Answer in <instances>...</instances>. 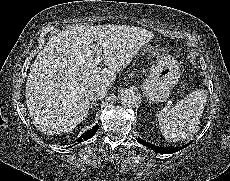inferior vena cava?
<instances>
[{"label":"inferior vena cava","instance_id":"obj_1","mask_svg":"<svg viewBox=\"0 0 230 181\" xmlns=\"http://www.w3.org/2000/svg\"><path fill=\"white\" fill-rule=\"evenodd\" d=\"M107 94V88L104 86H95L88 91V98L90 100H99L105 97Z\"/></svg>","mask_w":230,"mask_h":181}]
</instances>
